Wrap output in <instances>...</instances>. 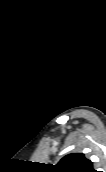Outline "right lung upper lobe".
Wrapping results in <instances>:
<instances>
[{
  "label": "right lung upper lobe",
  "instance_id": "obj_1",
  "mask_svg": "<svg viewBox=\"0 0 106 172\" xmlns=\"http://www.w3.org/2000/svg\"><path fill=\"white\" fill-rule=\"evenodd\" d=\"M53 172H96L93 163L84 154L75 153L63 157L57 165L51 167Z\"/></svg>",
  "mask_w": 106,
  "mask_h": 172
}]
</instances>
